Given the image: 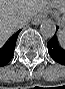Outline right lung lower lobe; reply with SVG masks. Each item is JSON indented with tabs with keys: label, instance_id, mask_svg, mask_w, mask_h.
I'll return each instance as SVG.
<instances>
[{
	"label": "right lung lower lobe",
	"instance_id": "right-lung-lower-lobe-1",
	"mask_svg": "<svg viewBox=\"0 0 65 89\" xmlns=\"http://www.w3.org/2000/svg\"><path fill=\"white\" fill-rule=\"evenodd\" d=\"M20 31L15 33L6 42L0 44V67L6 65L14 56V49Z\"/></svg>",
	"mask_w": 65,
	"mask_h": 89
}]
</instances>
